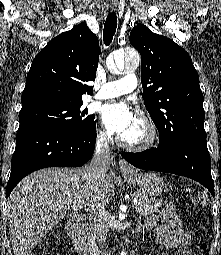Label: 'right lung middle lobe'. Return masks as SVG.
Listing matches in <instances>:
<instances>
[{"label": "right lung middle lobe", "mask_w": 221, "mask_h": 255, "mask_svg": "<svg viewBox=\"0 0 221 255\" xmlns=\"http://www.w3.org/2000/svg\"><path fill=\"white\" fill-rule=\"evenodd\" d=\"M82 102L48 103L21 109L19 122L48 125L70 133H85L94 125V115L87 116Z\"/></svg>", "instance_id": "obj_1"}]
</instances>
